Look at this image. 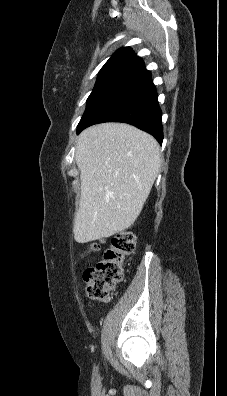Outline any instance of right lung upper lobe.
<instances>
[{
	"mask_svg": "<svg viewBox=\"0 0 227 396\" xmlns=\"http://www.w3.org/2000/svg\"><path fill=\"white\" fill-rule=\"evenodd\" d=\"M143 66V60L136 56L130 47H123L118 49L109 58L100 72L109 70H129L135 72Z\"/></svg>",
	"mask_w": 227,
	"mask_h": 396,
	"instance_id": "cb5924a9",
	"label": "right lung upper lobe"
}]
</instances>
